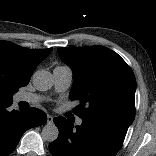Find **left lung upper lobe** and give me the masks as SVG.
<instances>
[{
  "instance_id": "obj_1",
  "label": "left lung upper lobe",
  "mask_w": 156,
  "mask_h": 156,
  "mask_svg": "<svg viewBox=\"0 0 156 156\" xmlns=\"http://www.w3.org/2000/svg\"><path fill=\"white\" fill-rule=\"evenodd\" d=\"M73 71L69 98L80 100L82 120H114L129 127L135 117V76L127 63L103 46L58 48Z\"/></svg>"
}]
</instances>
